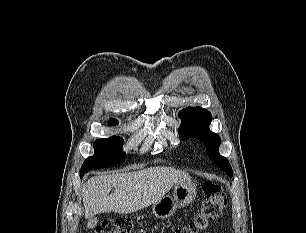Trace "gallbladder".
Instances as JSON below:
<instances>
[{"mask_svg":"<svg viewBox=\"0 0 306 233\" xmlns=\"http://www.w3.org/2000/svg\"><path fill=\"white\" fill-rule=\"evenodd\" d=\"M97 222H98V220H97L96 217H90V218L88 219V222H87V227H88V228H93V227L96 226Z\"/></svg>","mask_w":306,"mask_h":233,"instance_id":"1","label":"gallbladder"}]
</instances>
